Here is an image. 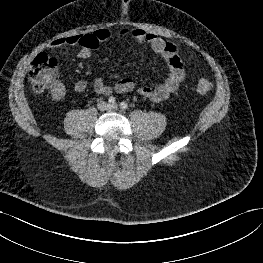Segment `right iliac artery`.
Returning a JSON list of instances; mask_svg holds the SVG:
<instances>
[{
  "label": "right iliac artery",
  "instance_id": "obj_1",
  "mask_svg": "<svg viewBox=\"0 0 263 263\" xmlns=\"http://www.w3.org/2000/svg\"><path fill=\"white\" fill-rule=\"evenodd\" d=\"M108 102L111 105L115 104V98L113 96L109 97Z\"/></svg>",
  "mask_w": 263,
  "mask_h": 263
}]
</instances>
